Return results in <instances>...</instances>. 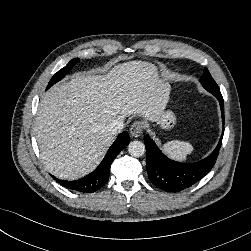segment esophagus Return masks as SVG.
Instances as JSON below:
<instances>
[{"mask_svg":"<svg viewBox=\"0 0 251 251\" xmlns=\"http://www.w3.org/2000/svg\"><path fill=\"white\" fill-rule=\"evenodd\" d=\"M142 131H143V124L139 121L134 122L130 128V134L133 137H139L142 134Z\"/></svg>","mask_w":251,"mask_h":251,"instance_id":"34e87169","label":"esophagus"}]
</instances>
